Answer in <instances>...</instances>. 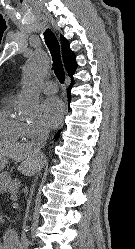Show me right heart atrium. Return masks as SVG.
I'll return each mask as SVG.
<instances>
[{
  "mask_svg": "<svg viewBox=\"0 0 135 249\" xmlns=\"http://www.w3.org/2000/svg\"><path fill=\"white\" fill-rule=\"evenodd\" d=\"M46 132V129L40 123H27L25 124V137L33 138L40 136Z\"/></svg>",
  "mask_w": 135,
  "mask_h": 249,
  "instance_id": "obj_1",
  "label": "right heart atrium"
}]
</instances>
